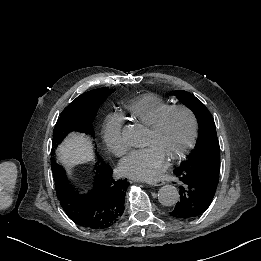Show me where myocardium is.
<instances>
[{"instance_id": "obj_1", "label": "myocardium", "mask_w": 261, "mask_h": 261, "mask_svg": "<svg viewBox=\"0 0 261 261\" xmlns=\"http://www.w3.org/2000/svg\"><path fill=\"white\" fill-rule=\"evenodd\" d=\"M174 111H181V112L186 113L189 116L190 121H191V132H190V136H189L186 144L184 145V147L180 151L171 155L168 158L169 162H174V161H177V160L185 157L187 155V153L195 145L197 138H198V134H199L198 117L193 109H191L190 107H188L184 104H170L168 107L163 109L160 113H158V115L148 124V127L152 130L159 129L161 127L162 123L164 122L165 118L171 112H174Z\"/></svg>"}]
</instances>
